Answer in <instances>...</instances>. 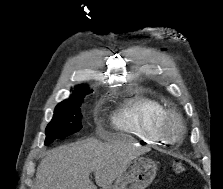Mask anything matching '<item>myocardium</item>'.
<instances>
[{"instance_id": "1", "label": "myocardium", "mask_w": 223, "mask_h": 189, "mask_svg": "<svg viewBox=\"0 0 223 189\" xmlns=\"http://www.w3.org/2000/svg\"><path fill=\"white\" fill-rule=\"evenodd\" d=\"M177 124L179 134L173 136L171 127ZM159 131L166 142L174 144L181 141L186 133V124L183 117L174 110H167L159 122Z\"/></svg>"}]
</instances>
